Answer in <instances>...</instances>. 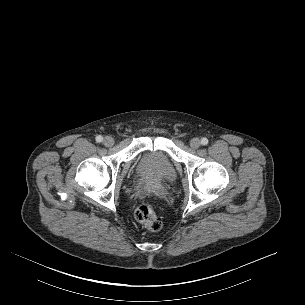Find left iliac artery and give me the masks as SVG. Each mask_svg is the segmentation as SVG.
I'll use <instances>...</instances> for the list:
<instances>
[{
    "instance_id": "1",
    "label": "left iliac artery",
    "mask_w": 305,
    "mask_h": 305,
    "mask_svg": "<svg viewBox=\"0 0 305 305\" xmlns=\"http://www.w3.org/2000/svg\"><path fill=\"white\" fill-rule=\"evenodd\" d=\"M201 144L202 145H207L208 144V139L207 138H202L201 139Z\"/></svg>"
}]
</instances>
